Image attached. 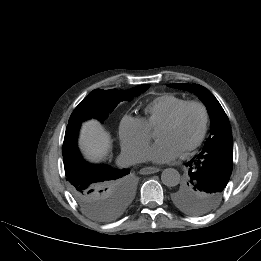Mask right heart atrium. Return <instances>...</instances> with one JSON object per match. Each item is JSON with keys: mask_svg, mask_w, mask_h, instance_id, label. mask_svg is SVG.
Instances as JSON below:
<instances>
[{"mask_svg": "<svg viewBox=\"0 0 261 261\" xmlns=\"http://www.w3.org/2000/svg\"><path fill=\"white\" fill-rule=\"evenodd\" d=\"M119 137L124 153L132 160L143 157L151 141V133L141 118L124 116L119 125Z\"/></svg>", "mask_w": 261, "mask_h": 261, "instance_id": "right-heart-atrium-1", "label": "right heart atrium"}]
</instances>
